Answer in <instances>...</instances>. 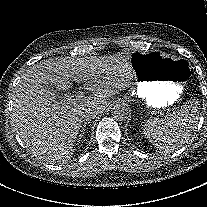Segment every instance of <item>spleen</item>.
Segmentation results:
<instances>
[{
	"mask_svg": "<svg viewBox=\"0 0 207 207\" xmlns=\"http://www.w3.org/2000/svg\"><path fill=\"white\" fill-rule=\"evenodd\" d=\"M198 109L193 104H188L184 109L175 111L161 120H153L146 126L144 132L150 136V141L155 146H167L184 141L194 125Z\"/></svg>",
	"mask_w": 207,
	"mask_h": 207,
	"instance_id": "1",
	"label": "spleen"
}]
</instances>
